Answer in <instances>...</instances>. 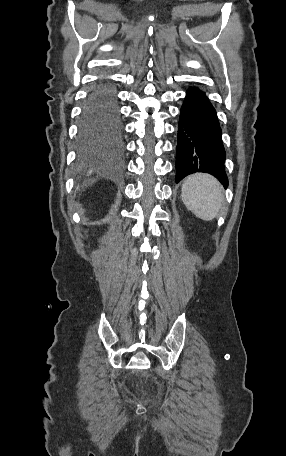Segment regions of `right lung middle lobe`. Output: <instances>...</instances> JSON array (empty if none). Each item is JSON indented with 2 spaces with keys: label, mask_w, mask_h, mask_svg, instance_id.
I'll return each instance as SVG.
<instances>
[{
  "label": "right lung middle lobe",
  "mask_w": 286,
  "mask_h": 456,
  "mask_svg": "<svg viewBox=\"0 0 286 456\" xmlns=\"http://www.w3.org/2000/svg\"><path fill=\"white\" fill-rule=\"evenodd\" d=\"M117 129L118 126L116 125H110L107 127L106 125L94 120H87L82 122V134L87 137H96L105 133L107 130L116 133Z\"/></svg>",
  "instance_id": "right-lung-middle-lobe-1"
}]
</instances>
